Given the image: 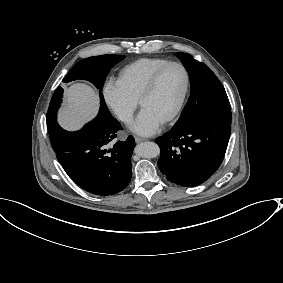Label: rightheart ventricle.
I'll use <instances>...</instances> for the list:
<instances>
[{"mask_svg": "<svg viewBox=\"0 0 283 283\" xmlns=\"http://www.w3.org/2000/svg\"><path fill=\"white\" fill-rule=\"evenodd\" d=\"M168 62L170 59L159 56L139 58L120 69L118 80L126 92L137 101L149 76Z\"/></svg>", "mask_w": 283, "mask_h": 283, "instance_id": "1", "label": "right heart ventricle"}]
</instances>
